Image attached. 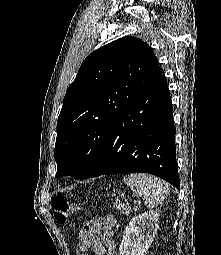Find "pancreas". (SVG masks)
<instances>
[{
  "label": "pancreas",
  "instance_id": "cf45deb5",
  "mask_svg": "<svg viewBox=\"0 0 221 255\" xmlns=\"http://www.w3.org/2000/svg\"><path fill=\"white\" fill-rule=\"evenodd\" d=\"M113 207L117 210L120 211L121 214H129L132 210L129 204H122L119 201H116L113 204Z\"/></svg>",
  "mask_w": 221,
  "mask_h": 255
}]
</instances>
